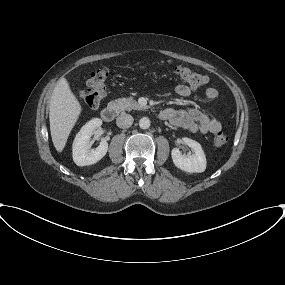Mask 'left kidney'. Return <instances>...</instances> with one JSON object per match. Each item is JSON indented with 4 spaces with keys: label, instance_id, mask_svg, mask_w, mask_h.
Returning <instances> with one entry per match:
<instances>
[{
    "label": "left kidney",
    "instance_id": "5707ae66",
    "mask_svg": "<svg viewBox=\"0 0 285 285\" xmlns=\"http://www.w3.org/2000/svg\"><path fill=\"white\" fill-rule=\"evenodd\" d=\"M183 142L192 150L191 155H182L178 148H173L171 156L175 166L185 172L201 173L206 169V157L201 145L189 138H183Z\"/></svg>",
    "mask_w": 285,
    "mask_h": 285
}]
</instances>
